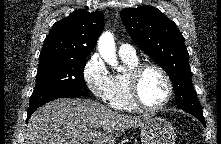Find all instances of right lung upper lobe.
Returning <instances> with one entry per match:
<instances>
[{"instance_id":"1","label":"right lung upper lobe","mask_w":221,"mask_h":144,"mask_svg":"<svg viewBox=\"0 0 221 144\" xmlns=\"http://www.w3.org/2000/svg\"><path fill=\"white\" fill-rule=\"evenodd\" d=\"M103 29L104 17L100 11H74L54 23L39 58L85 59L93 50Z\"/></svg>"}]
</instances>
